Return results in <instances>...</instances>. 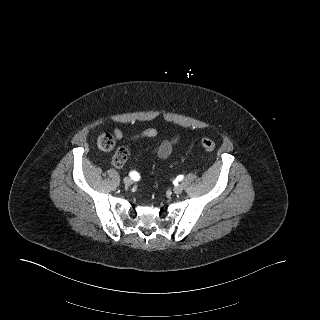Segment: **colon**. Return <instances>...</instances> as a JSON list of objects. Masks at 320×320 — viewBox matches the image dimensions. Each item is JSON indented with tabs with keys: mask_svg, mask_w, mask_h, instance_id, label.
<instances>
[{
	"mask_svg": "<svg viewBox=\"0 0 320 320\" xmlns=\"http://www.w3.org/2000/svg\"><path fill=\"white\" fill-rule=\"evenodd\" d=\"M98 144L101 149L109 151L112 150L114 147V139L110 134L103 133L98 138ZM200 145L204 150L208 152L214 151L216 147L215 142L210 138H202L200 140ZM128 156V150L125 148H120L114 154L113 163L116 166L120 167L126 162Z\"/></svg>",
	"mask_w": 320,
	"mask_h": 320,
	"instance_id": "5ec220e1",
	"label": "colon"
}]
</instances>
